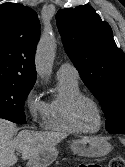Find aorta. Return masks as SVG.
Returning <instances> with one entry per match:
<instances>
[{
  "mask_svg": "<svg viewBox=\"0 0 125 167\" xmlns=\"http://www.w3.org/2000/svg\"><path fill=\"white\" fill-rule=\"evenodd\" d=\"M55 46L54 37L50 34H45L38 44L35 64L41 77L49 76L52 71Z\"/></svg>",
  "mask_w": 125,
  "mask_h": 167,
  "instance_id": "obj_1",
  "label": "aorta"
}]
</instances>
